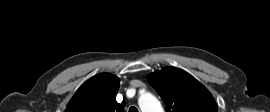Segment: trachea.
Listing matches in <instances>:
<instances>
[{
    "mask_svg": "<svg viewBox=\"0 0 270 112\" xmlns=\"http://www.w3.org/2000/svg\"><path fill=\"white\" fill-rule=\"evenodd\" d=\"M129 112H138V109L134 106L130 107Z\"/></svg>",
    "mask_w": 270,
    "mask_h": 112,
    "instance_id": "trachea-1",
    "label": "trachea"
}]
</instances>
